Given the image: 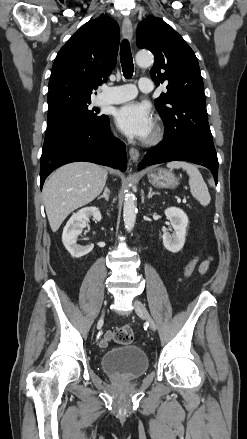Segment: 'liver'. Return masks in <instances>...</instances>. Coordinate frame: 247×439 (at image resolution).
<instances>
[{
	"mask_svg": "<svg viewBox=\"0 0 247 439\" xmlns=\"http://www.w3.org/2000/svg\"><path fill=\"white\" fill-rule=\"evenodd\" d=\"M105 167L73 162L57 169L45 182L42 195L50 227L56 232L74 210L93 201L103 190Z\"/></svg>",
	"mask_w": 247,
	"mask_h": 439,
	"instance_id": "1",
	"label": "liver"
}]
</instances>
